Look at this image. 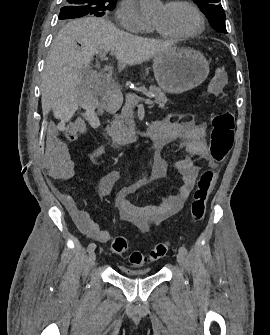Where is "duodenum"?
<instances>
[{"label": "duodenum", "instance_id": "obj_1", "mask_svg": "<svg viewBox=\"0 0 270 335\" xmlns=\"http://www.w3.org/2000/svg\"><path fill=\"white\" fill-rule=\"evenodd\" d=\"M103 94H104V108L109 113H114L118 111L122 103V93L118 86L111 82H105L103 85ZM159 135L158 122H151L142 130L113 143L114 147H124L127 146L139 138H150L156 140Z\"/></svg>", "mask_w": 270, "mask_h": 335}]
</instances>
